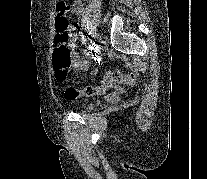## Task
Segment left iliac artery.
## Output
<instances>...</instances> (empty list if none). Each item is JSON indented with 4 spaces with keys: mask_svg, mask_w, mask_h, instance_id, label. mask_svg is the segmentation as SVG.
Listing matches in <instances>:
<instances>
[{
    "mask_svg": "<svg viewBox=\"0 0 207 179\" xmlns=\"http://www.w3.org/2000/svg\"><path fill=\"white\" fill-rule=\"evenodd\" d=\"M98 50H99V37L95 36L92 39V52H91V55H94L95 51H98Z\"/></svg>",
    "mask_w": 207,
    "mask_h": 179,
    "instance_id": "obj_1",
    "label": "left iliac artery"
}]
</instances>
